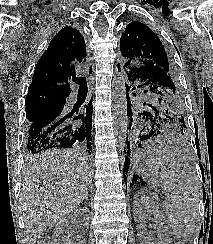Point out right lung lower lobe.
<instances>
[{
	"mask_svg": "<svg viewBox=\"0 0 213 244\" xmlns=\"http://www.w3.org/2000/svg\"><path fill=\"white\" fill-rule=\"evenodd\" d=\"M66 103V102H65ZM57 105L29 124L26 133L27 152L37 154L49 148H71L83 144L91 149L92 107L86 115L65 114L64 106Z\"/></svg>",
	"mask_w": 213,
	"mask_h": 244,
	"instance_id": "obj_1",
	"label": "right lung lower lobe"
}]
</instances>
